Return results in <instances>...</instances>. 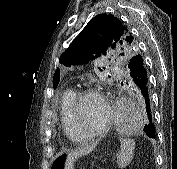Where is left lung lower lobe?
I'll list each match as a JSON object with an SVG mask.
<instances>
[{"mask_svg":"<svg viewBox=\"0 0 177 169\" xmlns=\"http://www.w3.org/2000/svg\"><path fill=\"white\" fill-rule=\"evenodd\" d=\"M131 83L136 90L139 101L144 107L147 124L143 130L150 138H155V125L153 123L152 107L149 93L148 72L144 58L140 54L134 55L127 64Z\"/></svg>","mask_w":177,"mask_h":169,"instance_id":"left-lung-lower-lobe-1","label":"left lung lower lobe"}]
</instances>
